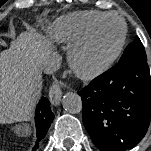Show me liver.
I'll use <instances>...</instances> for the list:
<instances>
[{"label":"liver","instance_id":"6515ba94","mask_svg":"<svg viewBox=\"0 0 151 151\" xmlns=\"http://www.w3.org/2000/svg\"><path fill=\"white\" fill-rule=\"evenodd\" d=\"M52 51L50 41L30 30L0 53V123L31 116L42 87V59Z\"/></svg>","mask_w":151,"mask_h":151}]
</instances>
